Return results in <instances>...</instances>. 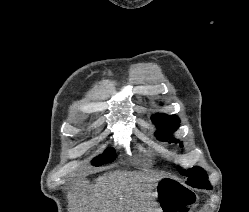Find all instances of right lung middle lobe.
<instances>
[{
	"mask_svg": "<svg viewBox=\"0 0 249 212\" xmlns=\"http://www.w3.org/2000/svg\"><path fill=\"white\" fill-rule=\"evenodd\" d=\"M116 157L115 150L113 148H108L104 151L103 154L97 156L93 161L92 164L94 166H100L105 163L112 162Z\"/></svg>",
	"mask_w": 249,
	"mask_h": 212,
	"instance_id": "obj_1",
	"label": "right lung middle lobe"
}]
</instances>
